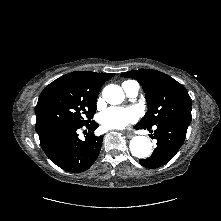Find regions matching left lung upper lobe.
I'll use <instances>...</instances> for the list:
<instances>
[{
	"label": "left lung upper lobe",
	"instance_id": "5c2ea615",
	"mask_svg": "<svg viewBox=\"0 0 221 221\" xmlns=\"http://www.w3.org/2000/svg\"><path fill=\"white\" fill-rule=\"evenodd\" d=\"M121 76L136 79L145 92L148 111L139 125L152 128L170 122L190 124L192 101L186 88L175 79L148 69L125 72Z\"/></svg>",
	"mask_w": 221,
	"mask_h": 221
}]
</instances>
